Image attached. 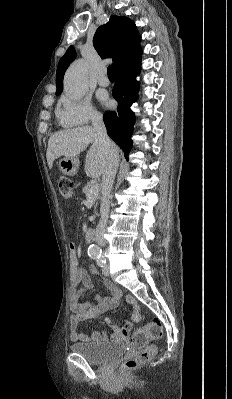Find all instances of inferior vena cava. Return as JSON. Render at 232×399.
Listing matches in <instances>:
<instances>
[{
  "label": "inferior vena cava",
  "instance_id": "inferior-vena-cava-1",
  "mask_svg": "<svg viewBox=\"0 0 232 399\" xmlns=\"http://www.w3.org/2000/svg\"><path fill=\"white\" fill-rule=\"evenodd\" d=\"M91 122L100 144H103V146L106 148L107 164L102 176V198L100 207L101 217L96 227L95 233L98 245H101V248H106L104 233L106 231L108 213L110 209V192L113 188L114 178L117 174L119 158L118 154H116L113 148V142H111L110 138L107 136L106 128L103 122V116H100V114H93V116H91Z\"/></svg>",
  "mask_w": 232,
  "mask_h": 399
}]
</instances>
